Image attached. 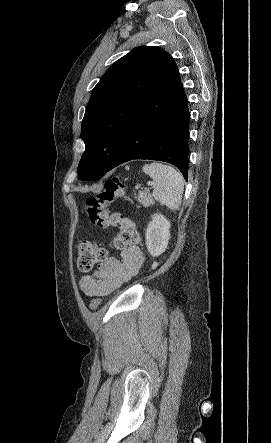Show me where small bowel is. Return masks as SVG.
<instances>
[{
    "label": "small bowel",
    "mask_w": 271,
    "mask_h": 443,
    "mask_svg": "<svg viewBox=\"0 0 271 443\" xmlns=\"http://www.w3.org/2000/svg\"><path fill=\"white\" fill-rule=\"evenodd\" d=\"M142 264L141 250L136 246L128 247L119 258L107 256L93 274L82 277L80 287L89 296H107L134 277Z\"/></svg>",
    "instance_id": "small-bowel-1"
}]
</instances>
